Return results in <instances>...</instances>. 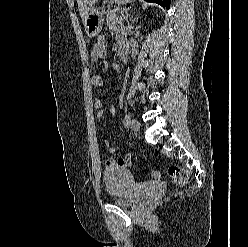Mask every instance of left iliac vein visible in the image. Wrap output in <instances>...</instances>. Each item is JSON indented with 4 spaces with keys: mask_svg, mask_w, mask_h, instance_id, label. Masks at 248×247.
Instances as JSON below:
<instances>
[{
    "mask_svg": "<svg viewBox=\"0 0 248 247\" xmlns=\"http://www.w3.org/2000/svg\"><path fill=\"white\" fill-rule=\"evenodd\" d=\"M130 127L133 131H138L140 129V123L136 119H132L130 122Z\"/></svg>",
    "mask_w": 248,
    "mask_h": 247,
    "instance_id": "4c4485c4",
    "label": "left iliac vein"
}]
</instances>
